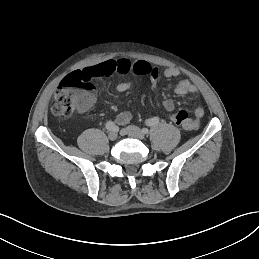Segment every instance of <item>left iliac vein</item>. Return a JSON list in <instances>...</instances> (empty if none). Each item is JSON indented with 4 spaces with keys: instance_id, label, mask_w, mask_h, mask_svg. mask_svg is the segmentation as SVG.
<instances>
[{
    "instance_id": "4c4485c4",
    "label": "left iliac vein",
    "mask_w": 259,
    "mask_h": 259,
    "mask_svg": "<svg viewBox=\"0 0 259 259\" xmlns=\"http://www.w3.org/2000/svg\"><path fill=\"white\" fill-rule=\"evenodd\" d=\"M126 134L130 137L137 138L139 140H143L145 138L144 132L134 125H129L125 129Z\"/></svg>"
}]
</instances>
